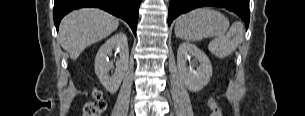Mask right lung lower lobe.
Instances as JSON below:
<instances>
[{
    "label": "right lung lower lobe",
    "mask_w": 305,
    "mask_h": 116,
    "mask_svg": "<svg viewBox=\"0 0 305 116\" xmlns=\"http://www.w3.org/2000/svg\"><path fill=\"white\" fill-rule=\"evenodd\" d=\"M141 0H55L53 17L58 30L61 19L70 11L82 7H98L124 19L136 35Z\"/></svg>",
    "instance_id": "obj_1"
}]
</instances>
